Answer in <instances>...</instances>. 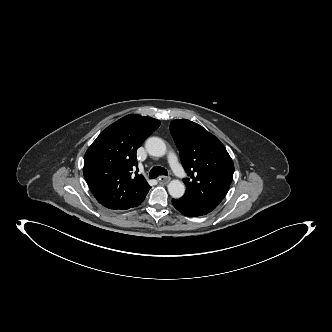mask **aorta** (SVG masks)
Masks as SVG:
<instances>
[{"mask_svg": "<svg viewBox=\"0 0 332 332\" xmlns=\"http://www.w3.org/2000/svg\"><path fill=\"white\" fill-rule=\"evenodd\" d=\"M145 148L149 155L155 157L164 156L167 152L166 144L158 137L148 138L145 143ZM168 192L173 198H181L185 193V186L179 180H172L168 184Z\"/></svg>", "mask_w": 332, "mask_h": 332, "instance_id": "obj_1", "label": "aorta"}]
</instances>
